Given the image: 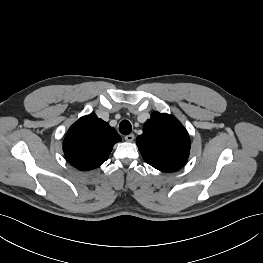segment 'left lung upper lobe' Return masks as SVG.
<instances>
[{
  "mask_svg": "<svg viewBox=\"0 0 263 263\" xmlns=\"http://www.w3.org/2000/svg\"><path fill=\"white\" fill-rule=\"evenodd\" d=\"M136 144L145 162L165 172L180 169L189 157V135L183 125L168 114L152 113Z\"/></svg>",
  "mask_w": 263,
  "mask_h": 263,
  "instance_id": "1",
  "label": "left lung upper lobe"
}]
</instances>
